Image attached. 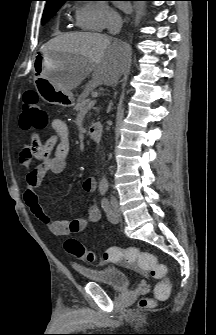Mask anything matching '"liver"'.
<instances>
[{
    "label": "liver",
    "mask_w": 216,
    "mask_h": 335,
    "mask_svg": "<svg viewBox=\"0 0 216 335\" xmlns=\"http://www.w3.org/2000/svg\"><path fill=\"white\" fill-rule=\"evenodd\" d=\"M61 52L72 57L69 68L55 79L64 91H71L91 73L88 86H114L130 59V46L100 33L71 32L58 35L41 47V52Z\"/></svg>",
    "instance_id": "1"
}]
</instances>
